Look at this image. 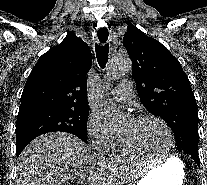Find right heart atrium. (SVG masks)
Wrapping results in <instances>:
<instances>
[{"mask_svg": "<svg viewBox=\"0 0 207 185\" xmlns=\"http://www.w3.org/2000/svg\"><path fill=\"white\" fill-rule=\"evenodd\" d=\"M88 137L93 148L99 152H105L119 137L111 127L104 114L93 111L88 122Z\"/></svg>", "mask_w": 207, "mask_h": 185, "instance_id": "d8ad5b80", "label": "right heart atrium"}]
</instances>
